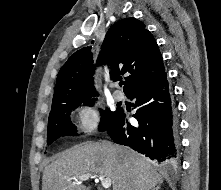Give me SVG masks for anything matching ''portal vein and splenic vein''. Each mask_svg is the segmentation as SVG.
I'll list each match as a JSON object with an SVG mask.
<instances>
[{
    "label": "portal vein and splenic vein",
    "instance_id": "obj_1",
    "mask_svg": "<svg viewBox=\"0 0 221 190\" xmlns=\"http://www.w3.org/2000/svg\"><path fill=\"white\" fill-rule=\"evenodd\" d=\"M92 175L91 174H85V175H82V176H79L78 178H67L68 181H74V183L78 182V181H86L88 180ZM101 181V185L104 189H108L110 188L112 182H111V179L109 178H105L104 176L102 175H99L97 176V179L96 181Z\"/></svg>",
    "mask_w": 221,
    "mask_h": 190
}]
</instances>
